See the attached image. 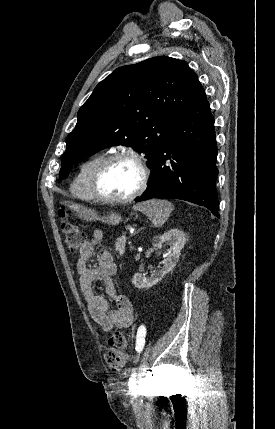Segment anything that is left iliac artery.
I'll list each match as a JSON object with an SVG mask.
<instances>
[{
    "mask_svg": "<svg viewBox=\"0 0 275 429\" xmlns=\"http://www.w3.org/2000/svg\"><path fill=\"white\" fill-rule=\"evenodd\" d=\"M145 339H146V327L144 325H141L138 328L137 335H136V350L138 353L142 352L145 345ZM135 384H136V370L134 369L129 379V386L134 387Z\"/></svg>",
    "mask_w": 275,
    "mask_h": 429,
    "instance_id": "obj_1",
    "label": "left iliac artery"
}]
</instances>
